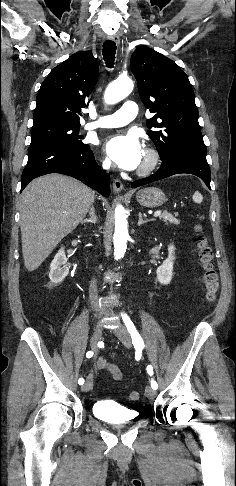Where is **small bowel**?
Instances as JSON below:
<instances>
[{"instance_id": "c3829d8e", "label": "small bowel", "mask_w": 236, "mask_h": 486, "mask_svg": "<svg viewBox=\"0 0 236 486\" xmlns=\"http://www.w3.org/2000/svg\"><path fill=\"white\" fill-rule=\"evenodd\" d=\"M97 366L100 369H106L111 374L112 378L115 381H119L122 377L121 370L117 364L110 363L102 358H100L97 362Z\"/></svg>"}]
</instances>
